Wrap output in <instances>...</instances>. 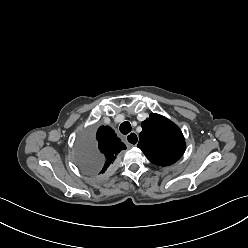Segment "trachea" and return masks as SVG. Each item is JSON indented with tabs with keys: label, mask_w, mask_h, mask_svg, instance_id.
Instances as JSON below:
<instances>
[{
	"label": "trachea",
	"mask_w": 248,
	"mask_h": 248,
	"mask_svg": "<svg viewBox=\"0 0 248 248\" xmlns=\"http://www.w3.org/2000/svg\"><path fill=\"white\" fill-rule=\"evenodd\" d=\"M119 129L122 134L126 135L131 131V124L125 121L120 125Z\"/></svg>",
	"instance_id": "3493384b"
}]
</instances>
